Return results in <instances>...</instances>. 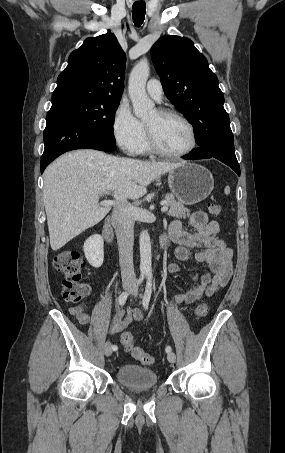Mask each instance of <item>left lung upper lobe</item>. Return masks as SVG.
I'll return each mask as SVG.
<instances>
[{
    "label": "left lung upper lobe",
    "instance_id": "obj_1",
    "mask_svg": "<svg viewBox=\"0 0 285 453\" xmlns=\"http://www.w3.org/2000/svg\"><path fill=\"white\" fill-rule=\"evenodd\" d=\"M151 58L167 98L193 125L199 146L233 138L217 76L190 39L163 36L152 46Z\"/></svg>",
    "mask_w": 285,
    "mask_h": 453
}]
</instances>
